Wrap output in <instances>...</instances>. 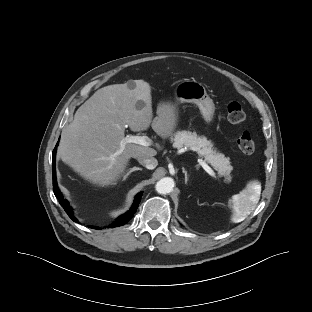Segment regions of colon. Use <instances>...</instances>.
<instances>
[{
    "instance_id": "5ec220e1",
    "label": "colon",
    "mask_w": 312,
    "mask_h": 312,
    "mask_svg": "<svg viewBox=\"0 0 312 312\" xmlns=\"http://www.w3.org/2000/svg\"><path fill=\"white\" fill-rule=\"evenodd\" d=\"M227 118L232 124H240L245 118V111L239 102L233 101L227 106ZM239 149L245 154H251L255 150V143L251 134L247 131L243 132L237 141Z\"/></svg>"
}]
</instances>
